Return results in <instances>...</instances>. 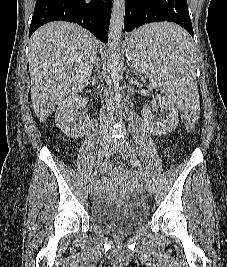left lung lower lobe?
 <instances>
[{
	"mask_svg": "<svg viewBox=\"0 0 227 267\" xmlns=\"http://www.w3.org/2000/svg\"><path fill=\"white\" fill-rule=\"evenodd\" d=\"M161 21L174 22L184 27L191 36H194L187 0H126L125 32H131L147 23ZM142 43L143 40L140 38L137 44L141 45ZM160 44L176 47L181 45V41L163 39Z\"/></svg>",
	"mask_w": 227,
	"mask_h": 267,
	"instance_id": "left-lung-lower-lobe-1",
	"label": "left lung lower lobe"
}]
</instances>
